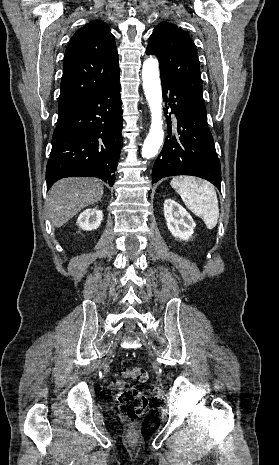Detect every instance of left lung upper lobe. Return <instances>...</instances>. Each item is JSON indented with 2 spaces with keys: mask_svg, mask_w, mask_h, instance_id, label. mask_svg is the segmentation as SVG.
Segmentation results:
<instances>
[{
  "mask_svg": "<svg viewBox=\"0 0 279 465\" xmlns=\"http://www.w3.org/2000/svg\"><path fill=\"white\" fill-rule=\"evenodd\" d=\"M146 53L158 57L161 78L206 110L197 50L188 33L162 22L150 36Z\"/></svg>",
  "mask_w": 279,
  "mask_h": 465,
  "instance_id": "left-lung-upper-lobe-1",
  "label": "left lung upper lobe"
}]
</instances>
